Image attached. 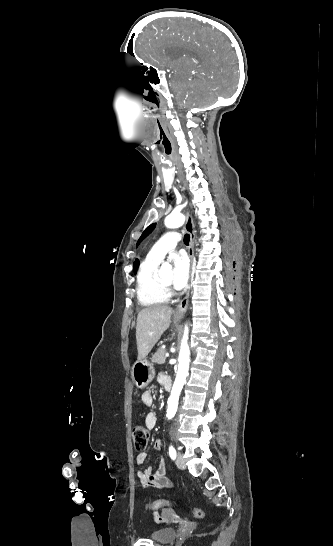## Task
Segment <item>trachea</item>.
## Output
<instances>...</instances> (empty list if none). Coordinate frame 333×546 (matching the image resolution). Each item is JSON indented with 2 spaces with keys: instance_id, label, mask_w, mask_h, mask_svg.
Wrapping results in <instances>:
<instances>
[{
  "instance_id": "3493384b",
  "label": "trachea",
  "mask_w": 333,
  "mask_h": 546,
  "mask_svg": "<svg viewBox=\"0 0 333 546\" xmlns=\"http://www.w3.org/2000/svg\"><path fill=\"white\" fill-rule=\"evenodd\" d=\"M189 240H190V236H189V234H186V235L184 236V243H185L186 245H189Z\"/></svg>"
}]
</instances>
